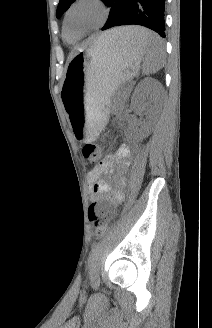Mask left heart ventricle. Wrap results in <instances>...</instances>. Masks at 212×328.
Returning <instances> with one entry per match:
<instances>
[{
    "instance_id": "left-heart-ventricle-1",
    "label": "left heart ventricle",
    "mask_w": 212,
    "mask_h": 328,
    "mask_svg": "<svg viewBox=\"0 0 212 328\" xmlns=\"http://www.w3.org/2000/svg\"><path fill=\"white\" fill-rule=\"evenodd\" d=\"M100 9L93 5H81L74 9L70 16L69 32L77 34L96 25L101 19Z\"/></svg>"
}]
</instances>
